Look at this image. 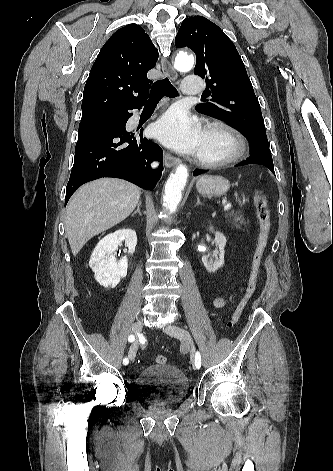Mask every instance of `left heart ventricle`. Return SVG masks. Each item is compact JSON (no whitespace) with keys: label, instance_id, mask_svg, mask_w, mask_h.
Instances as JSON below:
<instances>
[{"label":"left heart ventricle","instance_id":"1","mask_svg":"<svg viewBox=\"0 0 333 471\" xmlns=\"http://www.w3.org/2000/svg\"><path fill=\"white\" fill-rule=\"evenodd\" d=\"M230 150V142L220 132H203V139L198 153L206 157H221Z\"/></svg>","mask_w":333,"mask_h":471}]
</instances>
